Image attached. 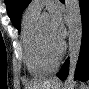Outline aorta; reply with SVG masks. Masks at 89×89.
I'll list each match as a JSON object with an SVG mask.
<instances>
[{"label":"aorta","mask_w":89,"mask_h":89,"mask_svg":"<svg viewBox=\"0 0 89 89\" xmlns=\"http://www.w3.org/2000/svg\"><path fill=\"white\" fill-rule=\"evenodd\" d=\"M67 21L69 29V72L66 88L74 89V74L78 63L82 43V19L78 0H66ZM41 20H49L47 13H42Z\"/></svg>","instance_id":"762f6f07"}]
</instances>
